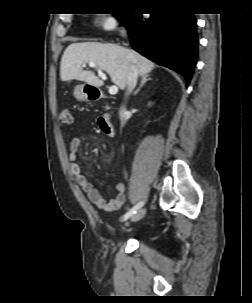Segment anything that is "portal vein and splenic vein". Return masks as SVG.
<instances>
[{"label":"portal vein and splenic vein","mask_w":252,"mask_h":303,"mask_svg":"<svg viewBox=\"0 0 252 303\" xmlns=\"http://www.w3.org/2000/svg\"><path fill=\"white\" fill-rule=\"evenodd\" d=\"M89 66H90V67L96 68V64L93 63V62H90V63H89ZM98 74H99V76L102 77L103 79H106V75H105L100 69H98ZM109 93H110L111 95L117 94V93H118V87L115 86V85L112 86V87H110V88H109Z\"/></svg>","instance_id":"portal-vein-and-splenic-vein-1"}]
</instances>
